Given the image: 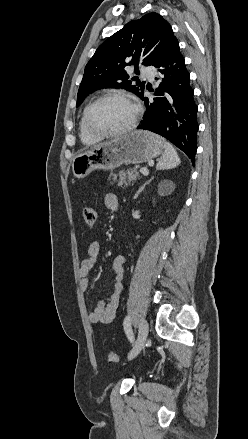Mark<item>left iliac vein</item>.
Returning a JSON list of instances; mask_svg holds the SVG:
<instances>
[{"mask_svg": "<svg viewBox=\"0 0 248 439\" xmlns=\"http://www.w3.org/2000/svg\"><path fill=\"white\" fill-rule=\"evenodd\" d=\"M147 335H148V323L145 319H142L140 326H139L137 340H136L132 350L128 354V360L133 359L134 357H136L140 353V351L142 350V348L145 344Z\"/></svg>", "mask_w": 248, "mask_h": 439, "instance_id": "obj_1", "label": "left iliac vein"}]
</instances>
